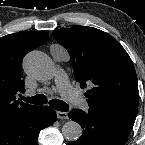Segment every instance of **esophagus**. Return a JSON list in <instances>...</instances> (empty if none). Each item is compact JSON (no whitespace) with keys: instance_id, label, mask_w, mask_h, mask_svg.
Here are the masks:
<instances>
[{"instance_id":"obj_1","label":"esophagus","mask_w":145,"mask_h":145,"mask_svg":"<svg viewBox=\"0 0 145 145\" xmlns=\"http://www.w3.org/2000/svg\"><path fill=\"white\" fill-rule=\"evenodd\" d=\"M56 114L58 119H68L67 112L57 111Z\"/></svg>"}]
</instances>
